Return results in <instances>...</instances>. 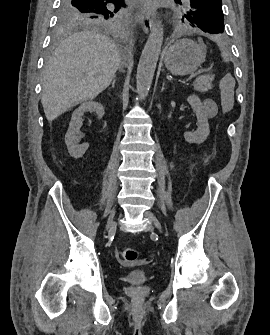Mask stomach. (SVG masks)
<instances>
[{
  "label": "stomach",
  "mask_w": 270,
  "mask_h": 335,
  "mask_svg": "<svg viewBox=\"0 0 270 335\" xmlns=\"http://www.w3.org/2000/svg\"><path fill=\"white\" fill-rule=\"evenodd\" d=\"M206 50L202 40L193 42L189 38L176 40L173 46L164 52V62L167 70L174 76H187L195 72L202 62H205Z\"/></svg>",
  "instance_id": "1"
}]
</instances>
